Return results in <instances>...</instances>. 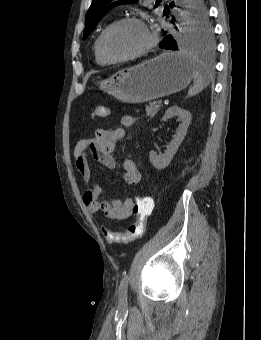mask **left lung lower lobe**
Segmentation results:
<instances>
[{"label": "left lung lower lobe", "mask_w": 261, "mask_h": 340, "mask_svg": "<svg viewBox=\"0 0 261 340\" xmlns=\"http://www.w3.org/2000/svg\"><path fill=\"white\" fill-rule=\"evenodd\" d=\"M184 2L185 0H183V3ZM160 47L164 49L178 50L177 40L173 36H165L163 41L160 43Z\"/></svg>", "instance_id": "obj_1"}]
</instances>
